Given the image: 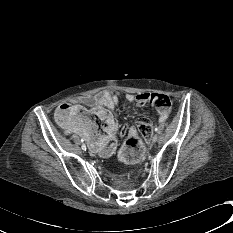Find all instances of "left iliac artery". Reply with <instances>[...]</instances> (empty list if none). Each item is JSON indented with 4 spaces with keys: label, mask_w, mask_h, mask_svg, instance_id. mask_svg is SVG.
<instances>
[{
    "label": "left iliac artery",
    "mask_w": 233,
    "mask_h": 233,
    "mask_svg": "<svg viewBox=\"0 0 233 233\" xmlns=\"http://www.w3.org/2000/svg\"><path fill=\"white\" fill-rule=\"evenodd\" d=\"M154 130H155V132H158L159 129L156 127Z\"/></svg>",
    "instance_id": "left-iliac-artery-1"
}]
</instances>
